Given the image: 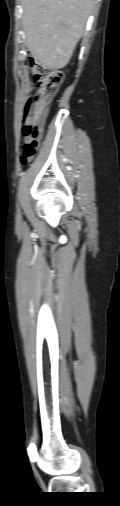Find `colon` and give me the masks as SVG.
<instances>
[{"instance_id":"colon-1","label":"colon","mask_w":120,"mask_h":506,"mask_svg":"<svg viewBox=\"0 0 120 506\" xmlns=\"http://www.w3.org/2000/svg\"><path fill=\"white\" fill-rule=\"evenodd\" d=\"M22 57L27 64L31 65L37 83L35 95L29 98L26 103L22 122L25 143L22 150L21 163L23 166H26L35 156L39 147L47 114V106L58 91L62 81V73L49 69L40 63H34L35 57L31 55L29 50H24Z\"/></svg>"}]
</instances>
